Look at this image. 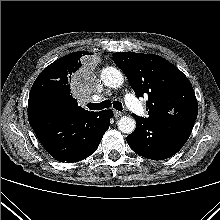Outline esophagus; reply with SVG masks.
<instances>
[{
    "instance_id": "esophagus-1",
    "label": "esophagus",
    "mask_w": 220,
    "mask_h": 220,
    "mask_svg": "<svg viewBox=\"0 0 220 220\" xmlns=\"http://www.w3.org/2000/svg\"><path fill=\"white\" fill-rule=\"evenodd\" d=\"M122 114H123L122 112L114 110V116L115 117H120V116H122Z\"/></svg>"
}]
</instances>
